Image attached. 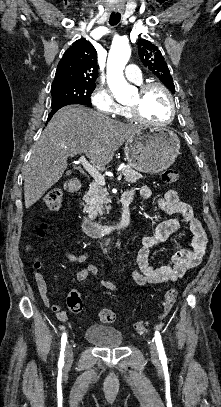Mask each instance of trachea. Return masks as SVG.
<instances>
[{
	"mask_svg": "<svg viewBox=\"0 0 221 407\" xmlns=\"http://www.w3.org/2000/svg\"><path fill=\"white\" fill-rule=\"evenodd\" d=\"M120 19H121V14L112 13L110 15L109 24L112 26L117 25L120 22Z\"/></svg>",
	"mask_w": 221,
	"mask_h": 407,
	"instance_id": "3493384b",
	"label": "trachea"
}]
</instances>
